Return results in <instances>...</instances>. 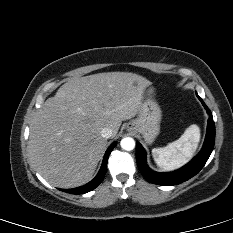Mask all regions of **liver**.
Returning <instances> with one entry per match:
<instances>
[{"instance_id":"1","label":"liver","mask_w":233,"mask_h":233,"mask_svg":"<svg viewBox=\"0 0 233 233\" xmlns=\"http://www.w3.org/2000/svg\"><path fill=\"white\" fill-rule=\"evenodd\" d=\"M146 78L130 72L98 73L72 79L48 98L30 129L29 152L51 185L74 188L93 176L107 144L103 128L115 137L122 121L141 107Z\"/></svg>"}]
</instances>
